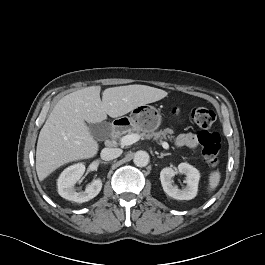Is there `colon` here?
Listing matches in <instances>:
<instances>
[{
	"label": "colon",
	"mask_w": 265,
	"mask_h": 265,
	"mask_svg": "<svg viewBox=\"0 0 265 265\" xmlns=\"http://www.w3.org/2000/svg\"><path fill=\"white\" fill-rule=\"evenodd\" d=\"M174 113L178 114L179 110H175ZM190 116L199 128L197 139L201 146L202 156L209 166L214 167L218 163L221 147L220 134L210 130L216 120V115L209 108L197 107L190 111Z\"/></svg>",
	"instance_id": "1"
}]
</instances>
